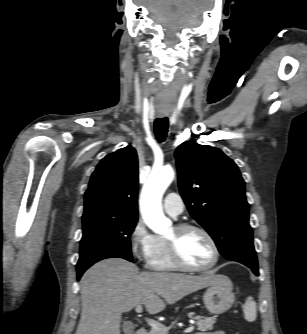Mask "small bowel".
Returning <instances> with one entry per match:
<instances>
[{"label":"small bowel","instance_id":"obj_1","mask_svg":"<svg viewBox=\"0 0 307 334\" xmlns=\"http://www.w3.org/2000/svg\"><path fill=\"white\" fill-rule=\"evenodd\" d=\"M202 334H225V333L221 330H218V331L209 332V333H202Z\"/></svg>","mask_w":307,"mask_h":334}]
</instances>
